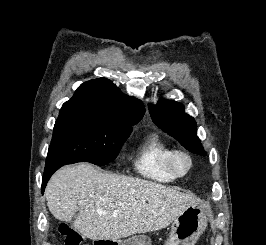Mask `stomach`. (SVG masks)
<instances>
[{
	"instance_id": "obj_1",
	"label": "stomach",
	"mask_w": 266,
	"mask_h": 245,
	"mask_svg": "<svg viewBox=\"0 0 266 245\" xmlns=\"http://www.w3.org/2000/svg\"><path fill=\"white\" fill-rule=\"evenodd\" d=\"M208 225L207 217L197 205H190L182 215L172 223L171 233L164 245H194ZM151 245L147 235H133L126 241H110V245Z\"/></svg>"
}]
</instances>
